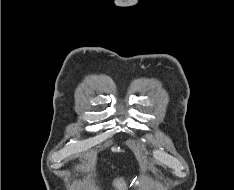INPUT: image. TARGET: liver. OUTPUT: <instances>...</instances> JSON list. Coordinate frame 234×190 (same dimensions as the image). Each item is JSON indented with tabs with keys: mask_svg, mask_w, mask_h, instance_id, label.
Wrapping results in <instances>:
<instances>
[{
	"mask_svg": "<svg viewBox=\"0 0 234 190\" xmlns=\"http://www.w3.org/2000/svg\"><path fill=\"white\" fill-rule=\"evenodd\" d=\"M113 185L116 187V189L118 190H126L127 189V184L126 182L120 178V179H116L113 183Z\"/></svg>",
	"mask_w": 234,
	"mask_h": 190,
	"instance_id": "6515ba94",
	"label": "liver"
}]
</instances>
